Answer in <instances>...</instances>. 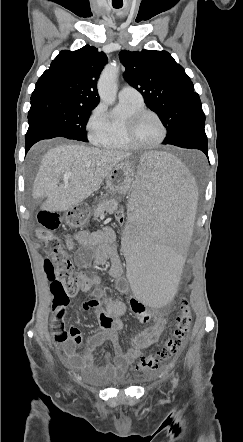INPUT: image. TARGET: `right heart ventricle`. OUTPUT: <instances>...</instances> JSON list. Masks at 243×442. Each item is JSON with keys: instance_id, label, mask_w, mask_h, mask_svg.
I'll use <instances>...</instances> for the list:
<instances>
[{"instance_id": "obj_1", "label": "right heart ventricle", "mask_w": 243, "mask_h": 442, "mask_svg": "<svg viewBox=\"0 0 243 442\" xmlns=\"http://www.w3.org/2000/svg\"><path fill=\"white\" fill-rule=\"evenodd\" d=\"M144 103L120 100L115 111L105 118L104 130L99 133L93 142L101 147L116 150H131L125 134L127 119L135 112L144 109Z\"/></svg>"}]
</instances>
